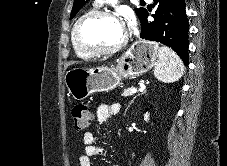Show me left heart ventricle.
<instances>
[{"mask_svg":"<svg viewBox=\"0 0 227 166\" xmlns=\"http://www.w3.org/2000/svg\"><path fill=\"white\" fill-rule=\"evenodd\" d=\"M126 33V26L122 21L97 18L81 28L80 37L89 46L111 48L122 42Z\"/></svg>","mask_w":227,"mask_h":166,"instance_id":"b2bd125f","label":"left heart ventricle"}]
</instances>
